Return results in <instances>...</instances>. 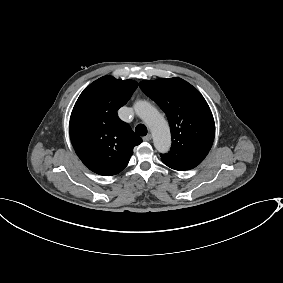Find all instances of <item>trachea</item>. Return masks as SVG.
<instances>
[{"mask_svg": "<svg viewBox=\"0 0 283 283\" xmlns=\"http://www.w3.org/2000/svg\"><path fill=\"white\" fill-rule=\"evenodd\" d=\"M135 132L139 136H146L148 133V130L144 124H138L135 128Z\"/></svg>", "mask_w": 283, "mask_h": 283, "instance_id": "trachea-1", "label": "trachea"}]
</instances>
